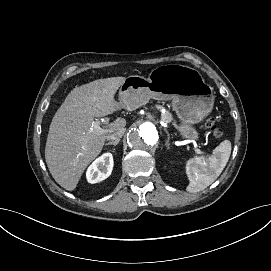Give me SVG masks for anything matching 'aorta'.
Returning <instances> with one entry per match:
<instances>
[{
  "mask_svg": "<svg viewBox=\"0 0 271 271\" xmlns=\"http://www.w3.org/2000/svg\"><path fill=\"white\" fill-rule=\"evenodd\" d=\"M159 139L155 124L148 120H136L127 132L128 145L139 152L152 150Z\"/></svg>",
  "mask_w": 271,
  "mask_h": 271,
  "instance_id": "1",
  "label": "aorta"
}]
</instances>
